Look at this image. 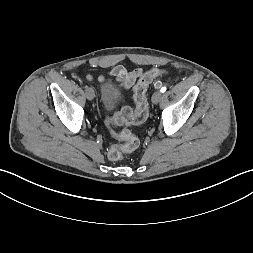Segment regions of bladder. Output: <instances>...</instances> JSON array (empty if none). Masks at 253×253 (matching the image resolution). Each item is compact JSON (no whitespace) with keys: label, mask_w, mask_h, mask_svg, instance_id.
Segmentation results:
<instances>
[{"label":"bladder","mask_w":253,"mask_h":253,"mask_svg":"<svg viewBox=\"0 0 253 253\" xmlns=\"http://www.w3.org/2000/svg\"><path fill=\"white\" fill-rule=\"evenodd\" d=\"M101 95L107 109L115 107L123 98L121 91L109 84H104L102 86Z\"/></svg>","instance_id":"obj_1"}]
</instances>
